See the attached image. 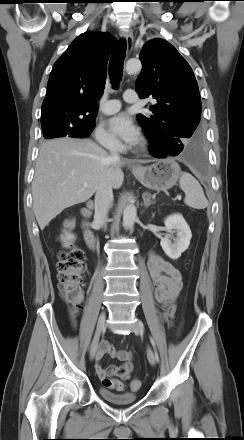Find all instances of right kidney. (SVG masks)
<instances>
[{
    "mask_svg": "<svg viewBox=\"0 0 244 440\" xmlns=\"http://www.w3.org/2000/svg\"><path fill=\"white\" fill-rule=\"evenodd\" d=\"M68 225H69L71 228H74V226H75L74 222H71V223H69ZM73 238H74V236L71 235V234H69V233H66V235H65L64 238L62 237L63 241L66 243L67 246L69 245V241H72Z\"/></svg>",
    "mask_w": 244,
    "mask_h": 440,
    "instance_id": "ca27d5eb",
    "label": "right kidney"
}]
</instances>
